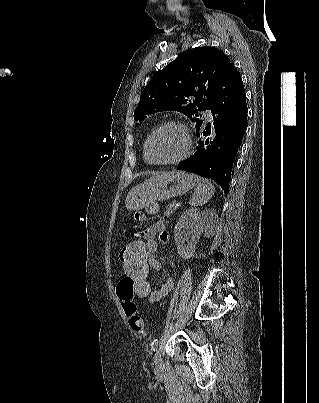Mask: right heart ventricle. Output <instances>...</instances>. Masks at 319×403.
<instances>
[{
    "label": "right heart ventricle",
    "instance_id": "right-heart-ventricle-1",
    "mask_svg": "<svg viewBox=\"0 0 319 403\" xmlns=\"http://www.w3.org/2000/svg\"><path fill=\"white\" fill-rule=\"evenodd\" d=\"M144 145H145V144H144ZM143 156H144L145 161H147V160H146V158H145V153H144V150H143Z\"/></svg>",
    "mask_w": 319,
    "mask_h": 403
}]
</instances>
